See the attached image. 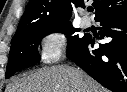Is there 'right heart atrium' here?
Returning a JSON list of instances; mask_svg holds the SVG:
<instances>
[{"label":"right heart atrium","mask_w":127,"mask_h":92,"mask_svg":"<svg viewBox=\"0 0 127 92\" xmlns=\"http://www.w3.org/2000/svg\"><path fill=\"white\" fill-rule=\"evenodd\" d=\"M68 47V38L60 28H52L43 33L40 41V61L52 65L60 61Z\"/></svg>","instance_id":"1"}]
</instances>
